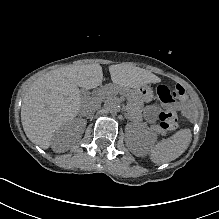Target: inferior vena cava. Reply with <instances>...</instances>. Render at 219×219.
<instances>
[{
  "label": "inferior vena cava",
  "instance_id": "1",
  "mask_svg": "<svg viewBox=\"0 0 219 219\" xmlns=\"http://www.w3.org/2000/svg\"><path fill=\"white\" fill-rule=\"evenodd\" d=\"M80 111L83 115L85 116H91L95 113L96 111V106L93 102L91 101H85L81 104L80 106Z\"/></svg>",
  "mask_w": 219,
  "mask_h": 219
}]
</instances>
